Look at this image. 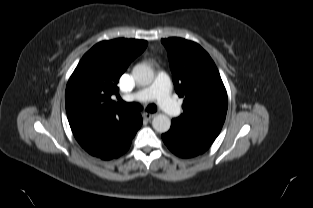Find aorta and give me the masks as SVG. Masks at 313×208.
<instances>
[{"label":"aorta","instance_id":"aorta-1","mask_svg":"<svg viewBox=\"0 0 313 208\" xmlns=\"http://www.w3.org/2000/svg\"><path fill=\"white\" fill-rule=\"evenodd\" d=\"M132 75L135 81L142 86L150 85L154 80L153 69L144 63L137 64L132 70ZM152 126L155 131L165 133L170 129L171 120L165 114H158L153 118Z\"/></svg>","mask_w":313,"mask_h":208}]
</instances>
